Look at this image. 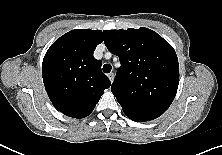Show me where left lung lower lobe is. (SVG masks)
Listing matches in <instances>:
<instances>
[{
	"label": "left lung lower lobe",
	"instance_id": "obj_1",
	"mask_svg": "<svg viewBox=\"0 0 222 155\" xmlns=\"http://www.w3.org/2000/svg\"><path fill=\"white\" fill-rule=\"evenodd\" d=\"M129 117V116H128ZM131 120L136 121V122H144V121H149L140 117H135V116H130L129 117Z\"/></svg>",
	"mask_w": 222,
	"mask_h": 155
}]
</instances>
